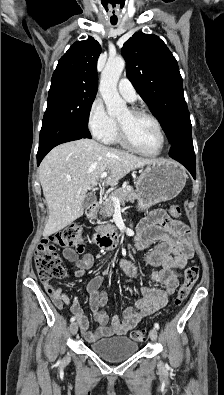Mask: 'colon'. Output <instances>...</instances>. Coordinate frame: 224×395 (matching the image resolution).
Instances as JSON below:
<instances>
[{
  "label": "colon",
  "mask_w": 224,
  "mask_h": 395,
  "mask_svg": "<svg viewBox=\"0 0 224 395\" xmlns=\"http://www.w3.org/2000/svg\"><path fill=\"white\" fill-rule=\"evenodd\" d=\"M172 217L181 216V208L173 204L169 207ZM82 230L78 226L66 227L55 234L44 238L38 245L35 253V266L37 273L42 281H50L51 279H62L66 276V270L61 264V259L56 251V247L78 248L83 244ZM199 277V267L192 264L185 270L184 281L180 285L176 297L174 299L175 306H181L188 297L191 289L197 282ZM134 341H143L145 339L144 330H134L131 333Z\"/></svg>",
  "instance_id": "1"
}]
</instances>
